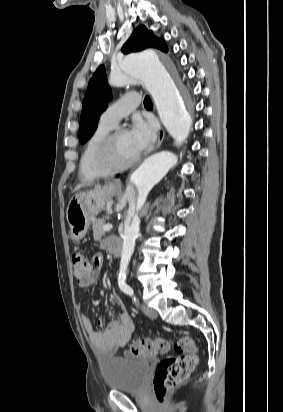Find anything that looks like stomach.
<instances>
[{
	"label": "stomach",
	"instance_id": "0dacf381",
	"mask_svg": "<svg viewBox=\"0 0 283 412\" xmlns=\"http://www.w3.org/2000/svg\"><path fill=\"white\" fill-rule=\"evenodd\" d=\"M117 191L116 186L106 184L91 191L78 193L70 200L66 217L73 240L79 241L86 235L91 219L104 209L106 201Z\"/></svg>",
	"mask_w": 283,
	"mask_h": 412
}]
</instances>
